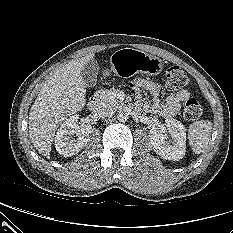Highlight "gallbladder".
<instances>
[{
	"mask_svg": "<svg viewBox=\"0 0 233 233\" xmlns=\"http://www.w3.org/2000/svg\"><path fill=\"white\" fill-rule=\"evenodd\" d=\"M99 70L98 62L93 58L86 62L82 69V78L88 87L95 86L97 82V74Z\"/></svg>",
	"mask_w": 233,
	"mask_h": 233,
	"instance_id": "obj_1",
	"label": "gallbladder"
}]
</instances>
